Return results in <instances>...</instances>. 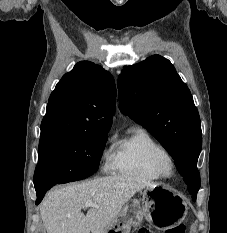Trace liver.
Wrapping results in <instances>:
<instances>
[{"label":"liver","instance_id":"1","mask_svg":"<svg viewBox=\"0 0 227 233\" xmlns=\"http://www.w3.org/2000/svg\"><path fill=\"white\" fill-rule=\"evenodd\" d=\"M157 184L135 176H107L71 184L47 194L40 215L47 233H102L123 206L140 190ZM94 202L86 216V202Z\"/></svg>","mask_w":227,"mask_h":233}]
</instances>
